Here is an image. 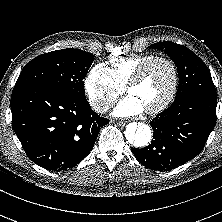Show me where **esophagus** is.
Masks as SVG:
<instances>
[{
	"instance_id": "obj_1",
	"label": "esophagus",
	"mask_w": 222,
	"mask_h": 222,
	"mask_svg": "<svg viewBox=\"0 0 222 222\" xmlns=\"http://www.w3.org/2000/svg\"><path fill=\"white\" fill-rule=\"evenodd\" d=\"M117 125L120 127H124L126 125V123L124 121H119V122H117Z\"/></svg>"
}]
</instances>
